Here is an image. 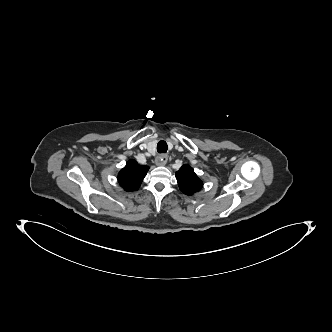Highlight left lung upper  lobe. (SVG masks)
<instances>
[{
  "label": "left lung upper lobe",
  "instance_id": "5c2ea615",
  "mask_svg": "<svg viewBox=\"0 0 332 332\" xmlns=\"http://www.w3.org/2000/svg\"><path fill=\"white\" fill-rule=\"evenodd\" d=\"M176 178L180 190L186 195L198 192L203 185L202 181L193 171V168L186 164L176 172Z\"/></svg>",
  "mask_w": 332,
  "mask_h": 332
}]
</instances>
